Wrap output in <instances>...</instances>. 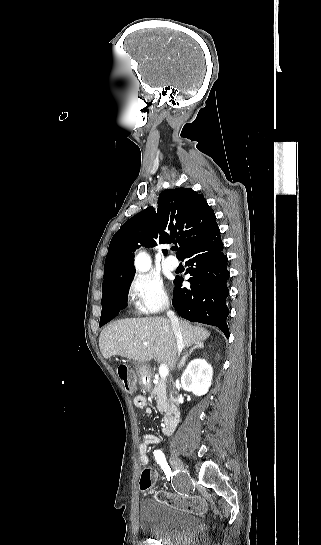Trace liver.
<instances>
[{
    "mask_svg": "<svg viewBox=\"0 0 321 545\" xmlns=\"http://www.w3.org/2000/svg\"><path fill=\"white\" fill-rule=\"evenodd\" d=\"M179 329L186 347L210 337L208 331L193 327L187 321H179ZM99 349L104 359L114 355L139 363L155 359L158 363L168 365L169 369H174L178 353L171 321L164 317L113 321L100 333Z\"/></svg>",
    "mask_w": 321,
    "mask_h": 545,
    "instance_id": "liver-1",
    "label": "liver"
}]
</instances>
